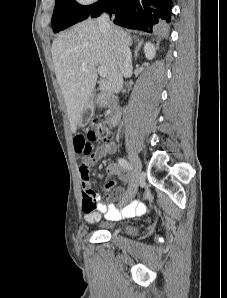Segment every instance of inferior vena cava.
Segmentation results:
<instances>
[{
	"label": "inferior vena cava",
	"mask_w": 227,
	"mask_h": 298,
	"mask_svg": "<svg viewBox=\"0 0 227 298\" xmlns=\"http://www.w3.org/2000/svg\"><path fill=\"white\" fill-rule=\"evenodd\" d=\"M100 29L104 33L114 35L116 38L117 31L110 23V18L106 13H103L98 19ZM117 57L119 62V69L122 75H126L132 71V55L129 47L123 40L116 39Z\"/></svg>",
	"instance_id": "inferior-vena-cava-1"
}]
</instances>
